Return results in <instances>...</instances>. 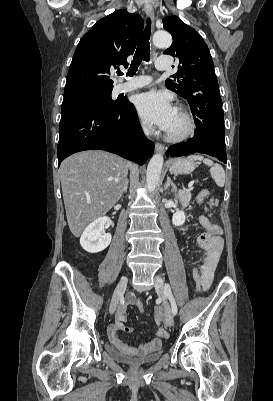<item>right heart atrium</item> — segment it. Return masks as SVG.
I'll use <instances>...</instances> for the list:
<instances>
[{
    "instance_id": "d8ad5b80",
    "label": "right heart atrium",
    "mask_w": 273,
    "mask_h": 401,
    "mask_svg": "<svg viewBox=\"0 0 273 401\" xmlns=\"http://www.w3.org/2000/svg\"><path fill=\"white\" fill-rule=\"evenodd\" d=\"M141 127H142L143 131H145V132H149V127H148V125H147V124H145V123H141Z\"/></svg>"
}]
</instances>
